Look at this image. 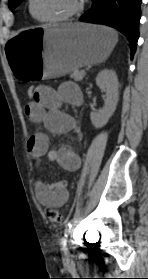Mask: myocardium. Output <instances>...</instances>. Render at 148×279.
Listing matches in <instances>:
<instances>
[{
	"instance_id": "1",
	"label": "myocardium",
	"mask_w": 148,
	"mask_h": 279,
	"mask_svg": "<svg viewBox=\"0 0 148 279\" xmlns=\"http://www.w3.org/2000/svg\"><path fill=\"white\" fill-rule=\"evenodd\" d=\"M28 9H29V13L31 14V16L39 22L61 23V22L70 21L80 15V13L84 9V0H76V5L73 9H71L64 15L55 16V17L41 18V17L37 16L33 10V0H29Z\"/></svg>"
}]
</instances>
